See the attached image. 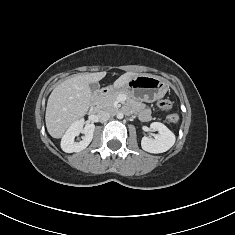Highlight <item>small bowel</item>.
Instances as JSON below:
<instances>
[{
    "label": "small bowel",
    "mask_w": 235,
    "mask_h": 235,
    "mask_svg": "<svg viewBox=\"0 0 235 235\" xmlns=\"http://www.w3.org/2000/svg\"><path fill=\"white\" fill-rule=\"evenodd\" d=\"M141 117H142V119H144V120L149 119V117H150V112H149V110H148V109H145V110L142 112Z\"/></svg>",
    "instance_id": "small-bowel-1"
}]
</instances>
